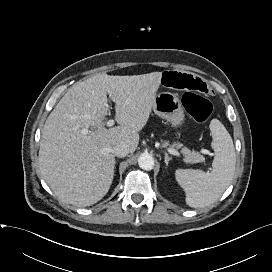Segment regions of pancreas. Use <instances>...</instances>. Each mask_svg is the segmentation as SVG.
I'll return each instance as SVG.
<instances>
[{
	"label": "pancreas",
	"mask_w": 272,
	"mask_h": 272,
	"mask_svg": "<svg viewBox=\"0 0 272 272\" xmlns=\"http://www.w3.org/2000/svg\"><path fill=\"white\" fill-rule=\"evenodd\" d=\"M164 146L168 145V142L163 144ZM172 147H176L177 149L181 148V152L184 155V161L187 163H201L205 161L203 155L199 152L191 151L187 147H183L181 143H173Z\"/></svg>",
	"instance_id": "1"
}]
</instances>
